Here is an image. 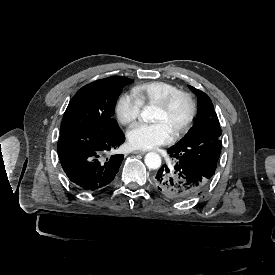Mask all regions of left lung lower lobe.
Masks as SVG:
<instances>
[{
	"label": "left lung lower lobe",
	"mask_w": 275,
	"mask_h": 275,
	"mask_svg": "<svg viewBox=\"0 0 275 275\" xmlns=\"http://www.w3.org/2000/svg\"><path fill=\"white\" fill-rule=\"evenodd\" d=\"M210 179L176 162L173 168L163 165L155 175V188L170 200H185L201 194L208 186Z\"/></svg>",
	"instance_id": "0a47b994"
}]
</instances>
